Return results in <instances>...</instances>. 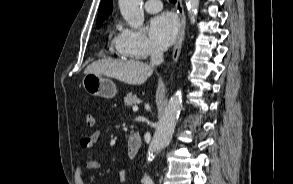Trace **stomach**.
Here are the masks:
<instances>
[{
	"label": "stomach",
	"mask_w": 293,
	"mask_h": 184,
	"mask_svg": "<svg viewBox=\"0 0 293 184\" xmlns=\"http://www.w3.org/2000/svg\"><path fill=\"white\" fill-rule=\"evenodd\" d=\"M83 87L92 96L113 98L117 93L115 83L100 74L87 73L82 80Z\"/></svg>",
	"instance_id": "0dacf381"
}]
</instances>
